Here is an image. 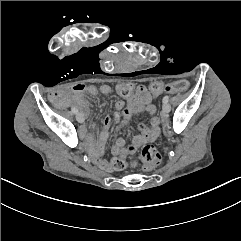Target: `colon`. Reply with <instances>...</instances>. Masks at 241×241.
<instances>
[{
    "instance_id": "colon-1",
    "label": "colon",
    "mask_w": 241,
    "mask_h": 241,
    "mask_svg": "<svg viewBox=\"0 0 241 241\" xmlns=\"http://www.w3.org/2000/svg\"><path fill=\"white\" fill-rule=\"evenodd\" d=\"M192 86L185 82L184 80H179L178 82L166 83L164 85V92L166 94H179L187 89H190ZM134 87L131 84L130 80L125 79L121 80L119 84L114 85V92L118 93L120 96L124 94L125 97H130L133 93ZM161 91V86L158 82H151L149 84V92L151 94H158ZM164 149L169 151L171 149V145L166 143L164 145ZM161 156L155 146L151 144L144 145L141 149L140 154L138 156V160L145 163L143 166V170L146 173H150L156 169V167L160 166L161 164ZM138 160H132L130 162H126L122 159L114 158L112 160V166L118 169H123L127 166H136L138 164Z\"/></svg>"
}]
</instances>
